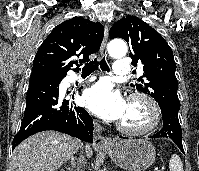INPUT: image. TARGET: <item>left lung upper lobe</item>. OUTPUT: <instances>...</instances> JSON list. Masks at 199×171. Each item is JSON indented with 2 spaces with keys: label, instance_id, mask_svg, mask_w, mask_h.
<instances>
[{
  "label": "left lung upper lobe",
  "instance_id": "obj_1",
  "mask_svg": "<svg viewBox=\"0 0 199 171\" xmlns=\"http://www.w3.org/2000/svg\"><path fill=\"white\" fill-rule=\"evenodd\" d=\"M110 38H122L130 46L132 64L143 65L144 74L133 85L152 96L160 108L180 109L176 63L165 39L146 22L135 16H126L116 22L109 32Z\"/></svg>",
  "mask_w": 199,
  "mask_h": 171
}]
</instances>
